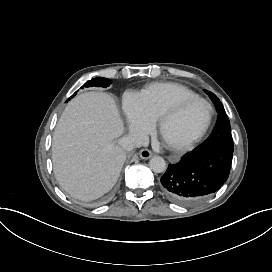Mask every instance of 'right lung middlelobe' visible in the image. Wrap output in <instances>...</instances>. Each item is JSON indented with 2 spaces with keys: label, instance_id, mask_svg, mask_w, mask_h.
Masks as SVG:
<instances>
[{
  "label": "right lung middle lobe",
  "instance_id": "right-lung-middle-lobe-1",
  "mask_svg": "<svg viewBox=\"0 0 272 272\" xmlns=\"http://www.w3.org/2000/svg\"><path fill=\"white\" fill-rule=\"evenodd\" d=\"M110 83H111V80H109V79L102 78V77H96V78L86 82L84 84V87H93V86L107 87L110 85ZM81 88H83V87H81ZM75 94H76V92L68 100H70Z\"/></svg>",
  "mask_w": 272,
  "mask_h": 272
}]
</instances>
